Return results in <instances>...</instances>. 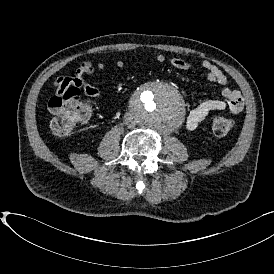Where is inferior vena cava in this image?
<instances>
[{"instance_id": "inferior-vena-cava-1", "label": "inferior vena cava", "mask_w": 274, "mask_h": 274, "mask_svg": "<svg viewBox=\"0 0 274 274\" xmlns=\"http://www.w3.org/2000/svg\"><path fill=\"white\" fill-rule=\"evenodd\" d=\"M129 127H132V123H129Z\"/></svg>"}]
</instances>
